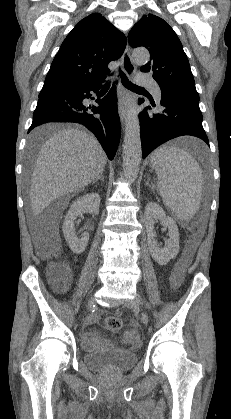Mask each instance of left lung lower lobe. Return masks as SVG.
<instances>
[{
  "instance_id": "0a47b994",
  "label": "left lung lower lobe",
  "mask_w": 231,
  "mask_h": 419,
  "mask_svg": "<svg viewBox=\"0 0 231 419\" xmlns=\"http://www.w3.org/2000/svg\"><path fill=\"white\" fill-rule=\"evenodd\" d=\"M143 102L139 100V104ZM161 106L162 114L147 111L139 114L143 158L159 145L182 135L196 136L209 145L202 126L199 97L162 92Z\"/></svg>"
}]
</instances>
